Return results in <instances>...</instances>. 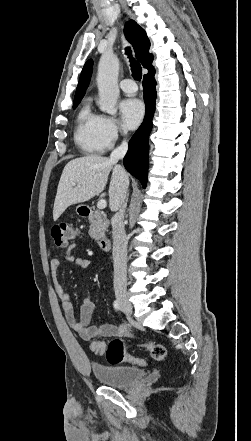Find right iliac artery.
Listing matches in <instances>:
<instances>
[{"label":"right iliac artery","instance_id":"82829eb1","mask_svg":"<svg viewBox=\"0 0 251 441\" xmlns=\"http://www.w3.org/2000/svg\"><path fill=\"white\" fill-rule=\"evenodd\" d=\"M113 307H114V309H115L116 311H119V310H120V304H119V302H118L117 300L114 301V303H113Z\"/></svg>","mask_w":251,"mask_h":441}]
</instances>
